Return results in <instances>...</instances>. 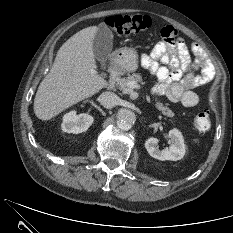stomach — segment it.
<instances>
[{
  "label": "stomach",
  "mask_w": 233,
  "mask_h": 233,
  "mask_svg": "<svg viewBox=\"0 0 233 233\" xmlns=\"http://www.w3.org/2000/svg\"><path fill=\"white\" fill-rule=\"evenodd\" d=\"M116 62L128 72L135 71L138 68V55L133 48L123 47L116 53Z\"/></svg>",
  "instance_id": "1"
}]
</instances>
